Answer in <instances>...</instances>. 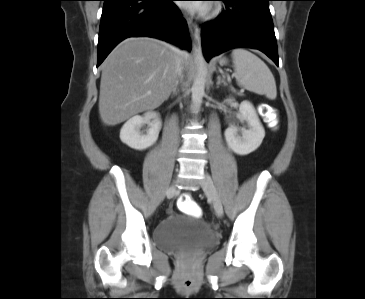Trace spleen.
<instances>
[{"label":"spleen","mask_w":365,"mask_h":299,"mask_svg":"<svg viewBox=\"0 0 365 299\" xmlns=\"http://www.w3.org/2000/svg\"><path fill=\"white\" fill-rule=\"evenodd\" d=\"M235 77L245 89L265 95L269 99L277 96L274 76L268 66L250 51L238 48L232 51Z\"/></svg>","instance_id":"1"}]
</instances>
